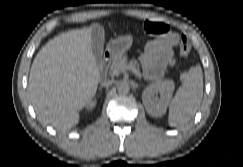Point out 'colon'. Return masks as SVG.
Returning a JSON list of instances; mask_svg holds the SVG:
<instances>
[{"instance_id":"1","label":"colon","mask_w":243,"mask_h":167,"mask_svg":"<svg viewBox=\"0 0 243 167\" xmlns=\"http://www.w3.org/2000/svg\"><path fill=\"white\" fill-rule=\"evenodd\" d=\"M143 29L148 35H161L167 32L168 25L163 21L146 20L143 23ZM179 49L184 58H189L191 49L185 34L180 35Z\"/></svg>"}]
</instances>
